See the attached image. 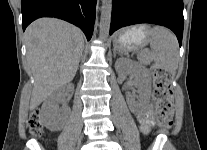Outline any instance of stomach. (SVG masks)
<instances>
[{"mask_svg": "<svg viewBox=\"0 0 207 150\" xmlns=\"http://www.w3.org/2000/svg\"><path fill=\"white\" fill-rule=\"evenodd\" d=\"M147 26L140 25L119 32L114 40V46L121 52L135 50L148 40Z\"/></svg>", "mask_w": 207, "mask_h": 150, "instance_id": "stomach-1", "label": "stomach"}]
</instances>
